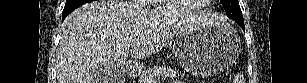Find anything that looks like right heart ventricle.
I'll return each mask as SVG.
<instances>
[{
    "label": "right heart ventricle",
    "mask_w": 307,
    "mask_h": 83,
    "mask_svg": "<svg viewBox=\"0 0 307 83\" xmlns=\"http://www.w3.org/2000/svg\"><path fill=\"white\" fill-rule=\"evenodd\" d=\"M164 3H165V6H167V5H166V1H164ZM155 7H156V8H163L164 6L161 5V4H156Z\"/></svg>",
    "instance_id": "obj_1"
}]
</instances>
